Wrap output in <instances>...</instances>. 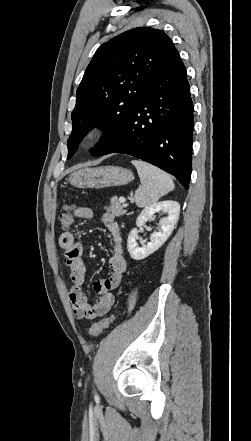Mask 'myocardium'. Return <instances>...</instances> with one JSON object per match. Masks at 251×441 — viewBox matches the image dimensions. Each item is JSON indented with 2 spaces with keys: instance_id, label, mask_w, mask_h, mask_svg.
Returning a JSON list of instances; mask_svg holds the SVG:
<instances>
[{
  "instance_id": "1",
  "label": "myocardium",
  "mask_w": 251,
  "mask_h": 441,
  "mask_svg": "<svg viewBox=\"0 0 251 441\" xmlns=\"http://www.w3.org/2000/svg\"><path fill=\"white\" fill-rule=\"evenodd\" d=\"M105 133L104 126L93 124L87 127L81 136V142L84 145H92L97 142Z\"/></svg>"
}]
</instances>
